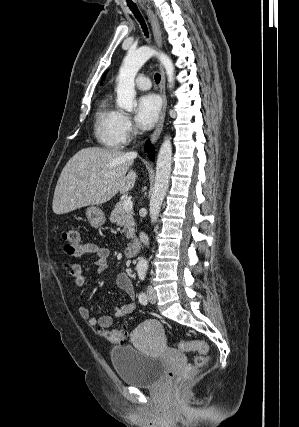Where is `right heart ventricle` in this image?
I'll list each match as a JSON object with an SVG mask.
<instances>
[{
  "instance_id": "e07e8e85",
  "label": "right heart ventricle",
  "mask_w": 299,
  "mask_h": 427,
  "mask_svg": "<svg viewBox=\"0 0 299 427\" xmlns=\"http://www.w3.org/2000/svg\"><path fill=\"white\" fill-rule=\"evenodd\" d=\"M121 112L115 108L108 95L100 100L95 113V136L105 148L116 150L123 145L120 134Z\"/></svg>"
}]
</instances>
